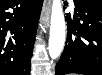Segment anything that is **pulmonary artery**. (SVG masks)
Segmentation results:
<instances>
[{"instance_id":"pulmonary-artery-1","label":"pulmonary artery","mask_w":102,"mask_h":75,"mask_svg":"<svg viewBox=\"0 0 102 75\" xmlns=\"http://www.w3.org/2000/svg\"><path fill=\"white\" fill-rule=\"evenodd\" d=\"M70 3H73V1H72V0H70Z\"/></svg>"}]
</instances>
